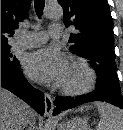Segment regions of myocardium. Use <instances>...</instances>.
Masks as SVG:
<instances>
[{"mask_svg": "<svg viewBox=\"0 0 123 130\" xmlns=\"http://www.w3.org/2000/svg\"><path fill=\"white\" fill-rule=\"evenodd\" d=\"M69 67L82 70L86 74V80L83 84L78 86L58 84V89L63 94L69 96L83 95L95 87L97 81L96 72L88 63L83 60L75 59L71 61Z\"/></svg>", "mask_w": 123, "mask_h": 130, "instance_id": "myocardium-1", "label": "myocardium"}]
</instances>
